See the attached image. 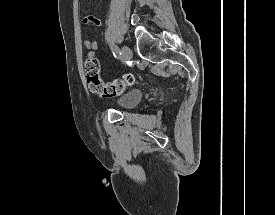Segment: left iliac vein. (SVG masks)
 <instances>
[{
    "label": "left iliac vein",
    "mask_w": 275,
    "mask_h": 215,
    "mask_svg": "<svg viewBox=\"0 0 275 215\" xmlns=\"http://www.w3.org/2000/svg\"><path fill=\"white\" fill-rule=\"evenodd\" d=\"M121 52H122V56H123L125 61H128V60L131 59L132 51L128 46L124 45L121 49Z\"/></svg>",
    "instance_id": "4c4485c4"
}]
</instances>
